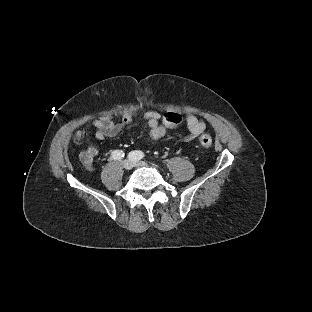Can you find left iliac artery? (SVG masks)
I'll list each match as a JSON object with an SVG mask.
<instances>
[{
    "label": "left iliac artery",
    "mask_w": 312,
    "mask_h": 312,
    "mask_svg": "<svg viewBox=\"0 0 312 312\" xmlns=\"http://www.w3.org/2000/svg\"><path fill=\"white\" fill-rule=\"evenodd\" d=\"M144 153L142 151H133L129 153V158L131 160H140L144 157Z\"/></svg>",
    "instance_id": "left-iliac-artery-1"
}]
</instances>
